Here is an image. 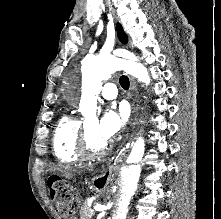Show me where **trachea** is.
<instances>
[{
	"label": "trachea",
	"mask_w": 221,
	"mask_h": 219,
	"mask_svg": "<svg viewBox=\"0 0 221 219\" xmlns=\"http://www.w3.org/2000/svg\"><path fill=\"white\" fill-rule=\"evenodd\" d=\"M119 83L123 89L127 90L129 88V79L127 76H121L119 79Z\"/></svg>",
	"instance_id": "trachea-1"
}]
</instances>
